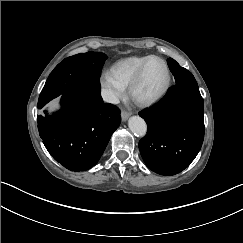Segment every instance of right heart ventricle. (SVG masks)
Returning a JSON list of instances; mask_svg holds the SVG:
<instances>
[{
	"label": "right heart ventricle",
	"instance_id": "right-heart-ventricle-1",
	"mask_svg": "<svg viewBox=\"0 0 243 243\" xmlns=\"http://www.w3.org/2000/svg\"><path fill=\"white\" fill-rule=\"evenodd\" d=\"M158 56L153 54L130 55L113 64L117 78L125 88H129L131 82L138 74L141 66L148 60Z\"/></svg>",
	"mask_w": 243,
	"mask_h": 243
}]
</instances>
